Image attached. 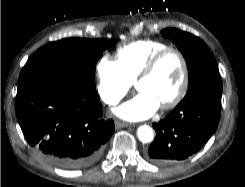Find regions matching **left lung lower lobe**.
I'll list each match as a JSON object with an SVG mask.
<instances>
[{
	"label": "left lung lower lobe",
	"mask_w": 245,
	"mask_h": 187,
	"mask_svg": "<svg viewBox=\"0 0 245 187\" xmlns=\"http://www.w3.org/2000/svg\"><path fill=\"white\" fill-rule=\"evenodd\" d=\"M221 93V79L202 84L188 92L165 119L154 123L156 137L148 160L173 164L198 152L217 129Z\"/></svg>",
	"instance_id": "obj_1"
}]
</instances>
